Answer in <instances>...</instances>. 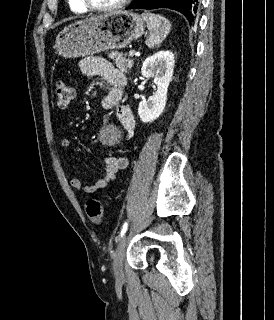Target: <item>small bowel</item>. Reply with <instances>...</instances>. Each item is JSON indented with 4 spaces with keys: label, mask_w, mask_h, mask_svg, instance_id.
Masks as SVG:
<instances>
[{
    "label": "small bowel",
    "mask_w": 274,
    "mask_h": 320,
    "mask_svg": "<svg viewBox=\"0 0 274 320\" xmlns=\"http://www.w3.org/2000/svg\"><path fill=\"white\" fill-rule=\"evenodd\" d=\"M80 69L84 76L88 78L102 77L111 85V90L102 100L105 109H115L118 120L120 121L124 139L129 140L134 132L135 121L128 106L121 104L126 77L123 72L113 66L108 60L102 57H86L80 61ZM60 146L67 149L70 146L68 139H62ZM105 167L102 177L90 184H84L79 178L69 179L70 186L83 194H91L101 191L114 181L120 170L126 169L129 161L124 156L108 155L104 158Z\"/></svg>",
    "instance_id": "obj_1"
}]
</instances>
